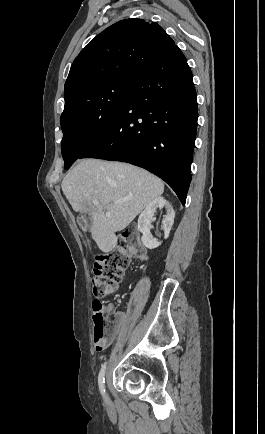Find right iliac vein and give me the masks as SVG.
<instances>
[{"mask_svg": "<svg viewBox=\"0 0 265 434\" xmlns=\"http://www.w3.org/2000/svg\"><path fill=\"white\" fill-rule=\"evenodd\" d=\"M106 399V398H105ZM107 406H109V402H107Z\"/></svg>", "mask_w": 265, "mask_h": 434, "instance_id": "right-iliac-vein-1", "label": "right iliac vein"}]
</instances>
